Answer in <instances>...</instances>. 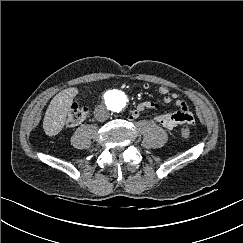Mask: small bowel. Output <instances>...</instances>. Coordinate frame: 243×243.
<instances>
[{
    "label": "small bowel",
    "mask_w": 243,
    "mask_h": 243,
    "mask_svg": "<svg viewBox=\"0 0 243 243\" xmlns=\"http://www.w3.org/2000/svg\"><path fill=\"white\" fill-rule=\"evenodd\" d=\"M145 90L151 88L149 83L143 85ZM159 93L163 96L165 103L175 102L179 111L160 114L155 117V121L167 129H173L174 127L187 123L190 126L194 125L193 114L188 108L187 102L182 99L177 93H175L171 88L167 86L159 87ZM158 104L153 101H146L140 103L132 113L133 118H137L140 114L147 110L156 109Z\"/></svg>",
    "instance_id": "small-bowel-1"
}]
</instances>
